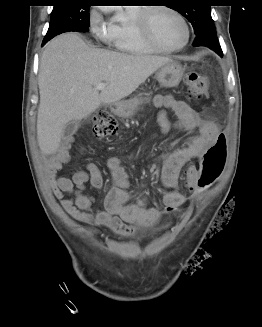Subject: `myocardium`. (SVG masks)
<instances>
[{"label":"myocardium","instance_id":"f54148a6","mask_svg":"<svg viewBox=\"0 0 262 327\" xmlns=\"http://www.w3.org/2000/svg\"><path fill=\"white\" fill-rule=\"evenodd\" d=\"M157 10L168 11V12L174 14L183 23L185 32H186V36H185L184 42L180 46L174 47V48L165 47L162 44H160L154 37L152 30H151V26H150V16H151L152 12L157 11ZM135 25H136L139 33L141 34V36L144 38V40L150 46H152L154 49H156L160 52L173 53V52L181 51L188 45V43L190 41L191 31H190V27H189V24H188L186 18L177 9H175L171 6H168V5H154V6L142 8L135 19Z\"/></svg>","mask_w":262,"mask_h":327}]
</instances>
